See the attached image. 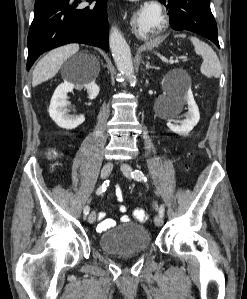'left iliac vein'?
I'll use <instances>...</instances> for the list:
<instances>
[{"instance_id": "left-iliac-vein-1", "label": "left iliac vein", "mask_w": 247, "mask_h": 299, "mask_svg": "<svg viewBox=\"0 0 247 299\" xmlns=\"http://www.w3.org/2000/svg\"><path fill=\"white\" fill-rule=\"evenodd\" d=\"M121 170L123 172V174L127 177V178H131V174H132V167L126 163H123L121 165ZM154 223L157 225V226H162L163 224V218L160 216V215H157L155 216L154 218Z\"/></svg>"}]
</instances>
